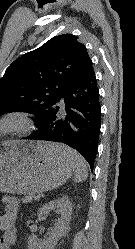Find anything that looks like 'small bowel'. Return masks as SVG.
<instances>
[{
	"label": "small bowel",
	"instance_id": "1",
	"mask_svg": "<svg viewBox=\"0 0 135 249\" xmlns=\"http://www.w3.org/2000/svg\"><path fill=\"white\" fill-rule=\"evenodd\" d=\"M5 210L0 215V230L3 235L0 237V249H9V245L16 239L15 222L19 211V201L14 197H5Z\"/></svg>",
	"mask_w": 135,
	"mask_h": 249
}]
</instances>
